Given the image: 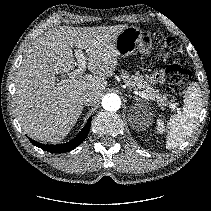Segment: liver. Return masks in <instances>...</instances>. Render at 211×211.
Wrapping results in <instances>:
<instances>
[{
	"label": "liver",
	"instance_id": "1",
	"mask_svg": "<svg viewBox=\"0 0 211 211\" xmlns=\"http://www.w3.org/2000/svg\"><path fill=\"white\" fill-rule=\"evenodd\" d=\"M125 25L52 28L27 50L15 77L14 110L22 129L30 137L58 143L80 117L82 94L96 102L114 74L117 53L114 41ZM73 46L84 50L88 69L94 73L57 83L56 74L77 66Z\"/></svg>",
	"mask_w": 211,
	"mask_h": 211
}]
</instances>
